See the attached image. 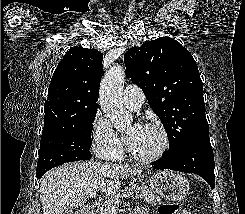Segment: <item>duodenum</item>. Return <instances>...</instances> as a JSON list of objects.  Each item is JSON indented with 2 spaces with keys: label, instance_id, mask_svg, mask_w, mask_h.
Segmentation results:
<instances>
[{
  "label": "duodenum",
  "instance_id": "410a0bca",
  "mask_svg": "<svg viewBox=\"0 0 245 214\" xmlns=\"http://www.w3.org/2000/svg\"><path fill=\"white\" fill-rule=\"evenodd\" d=\"M99 212H100V204L96 202L81 208L77 214H99Z\"/></svg>",
  "mask_w": 245,
  "mask_h": 214
}]
</instances>
